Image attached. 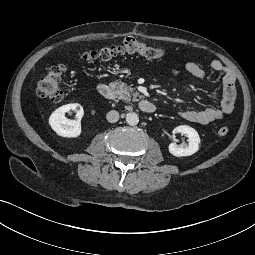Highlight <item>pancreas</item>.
<instances>
[{
  "mask_svg": "<svg viewBox=\"0 0 255 255\" xmlns=\"http://www.w3.org/2000/svg\"><path fill=\"white\" fill-rule=\"evenodd\" d=\"M111 86L116 88L119 99L131 101V96H133L132 100L138 101L137 97H142L138 92H134V89L127 86L124 82H112Z\"/></svg>",
  "mask_w": 255,
  "mask_h": 255,
  "instance_id": "obj_1",
  "label": "pancreas"
}]
</instances>
